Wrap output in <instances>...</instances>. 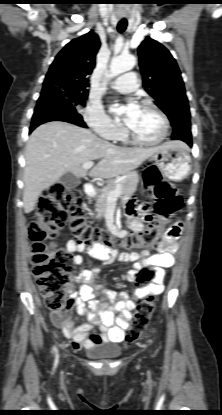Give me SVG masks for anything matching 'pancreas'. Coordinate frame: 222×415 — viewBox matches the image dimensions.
<instances>
[{
    "instance_id": "obj_1",
    "label": "pancreas",
    "mask_w": 222,
    "mask_h": 415,
    "mask_svg": "<svg viewBox=\"0 0 222 415\" xmlns=\"http://www.w3.org/2000/svg\"><path fill=\"white\" fill-rule=\"evenodd\" d=\"M139 182V175L137 172H130L124 178L116 181H111L107 187L101 191L98 196L95 211L97 218L104 217L108 207V193L114 191L118 186L122 187L120 197L131 196L137 188Z\"/></svg>"
}]
</instances>
